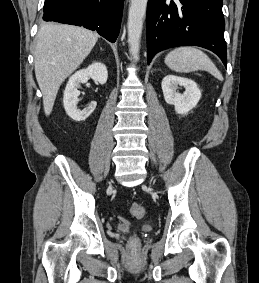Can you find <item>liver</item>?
Returning <instances> with one entry per match:
<instances>
[{
    "label": "liver",
    "instance_id": "1",
    "mask_svg": "<svg viewBox=\"0 0 259 283\" xmlns=\"http://www.w3.org/2000/svg\"><path fill=\"white\" fill-rule=\"evenodd\" d=\"M98 34L74 25L44 23L41 25L34 50L35 75L49 116L63 81L89 55Z\"/></svg>",
    "mask_w": 259,
    "mask_h": 283
}]
</instances>
